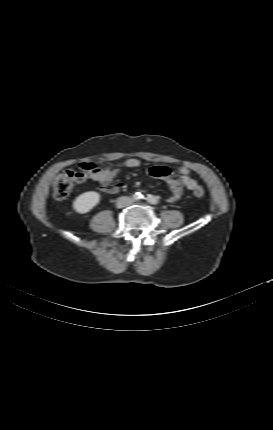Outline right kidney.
Listing matches in <instances>:
<instances>
[{"label": "right kidney", "mask_w": 273, "mask_h": 430, "mask_svg": "<svg viewBox=\"0 0 273 430\" xmlns=\"http://www.w3.org/2000/svg\"><path fill=\"white\" fill-rule=\"evenodd\" d=\"M100 198L96 191L84 192L74 199L73 209L80 214L88 213L100 202Z\"/></svg>", "instance_id": "1"}]
</instances>
